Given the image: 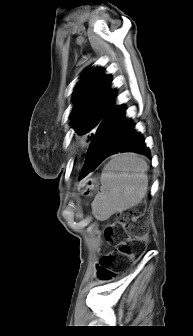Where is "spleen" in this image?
Wrapping results in <instances>:
<instances>
[{"label": "spleen", "instance_id": "1", "mask_svg": "<svg viewBox=\"0 0 193 336\" xmlns=\"http://www.w3.org/2000/svg\"><path fill=\"white\" fill-rule=\"evenodd\" d=\"M148 165L135 153L114 155L101 175V192L92 202V213L105 221L116 212L130 209L141 202L146 194Z\"/></svg>", "mask_w": 193, "mask_h": 336}]
</instances>
